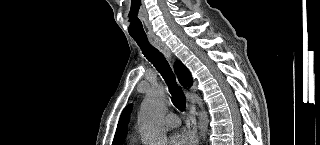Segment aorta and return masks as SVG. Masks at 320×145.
<instances>
[{"label": "aorta", "mask_w": 320, "mask_h": 145, "mask_svg": "<svg viewBox=\"0 0 320 145\" xmlns=\"http://www.w3.org/2000/svg\"><path fill=\"white\" fill-rule=\"evenodd\" d=\"M166 108V96L161 87H154L144 99L139 113V132L145 145H164L166 132L161 118ZM199 127L202 134L206 130V120L201 113Z\"/></svg>", "instance_id": "obj_1"}]
</instances>
